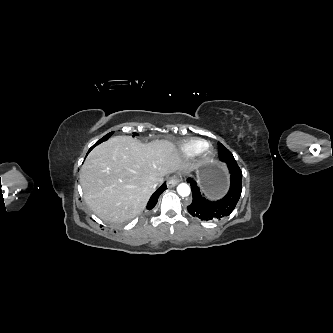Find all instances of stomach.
<instances>
[{"mask_svg":"<svg viewBox=\"0 0 333 333\" xmlns=\"http://www.w3.org/2000/svg\"><path fill=\"white\" fill-rule=\"evenodd\" d=\"M196 173L202 189L210 198H218L225 193L228 175L224 166L213 162L198 168Z\"/></svg>","mask_w":333,"mask_h":333,"instance_id":"stomach-1","label":"stomach"}]
</instances>
